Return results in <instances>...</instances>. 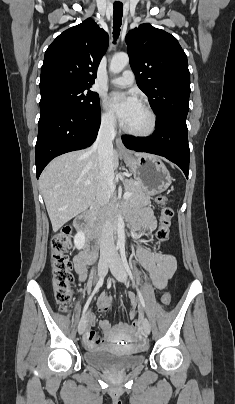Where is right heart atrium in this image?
Returning a JSON list of instances; mask_svg holds the SVG:
<instances>
[{
    "instance_id": "1",
    "label": "right heart atrium",
    "mask_w": 235,
    "mask_h": 404,
    "mask_svg": "<svg viewBox=\"0 0 235 404\" xmlns=\"http://www.w3.org/2000/svg\"><path fill=\"white\" fill-rule=\"evenodd\" d=\"M100 121L104 128L113 129L116 126V119L113 114L106 108H102L100 114Z\"/></svg>"
}]
</instances>
